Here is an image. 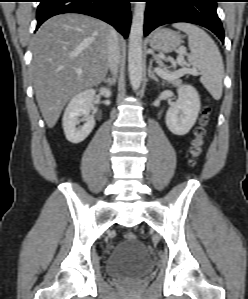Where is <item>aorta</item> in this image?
<instances>
[{
  "label": "aorta",
  "instance_id": "762f6f07",
  "mask_svg": "<svg viewBox=\"0 0 248 299\" xmlns=\"http://www.w3.org/2000/svg\"><path fill=\"white\" fill-rule=\"evenodd\" d=\"M145 7L144 2H136L129 34L128 72L134 90L140 87L142 81V37Z\"/></svg>",
  "mask_w": 248,
  "mask_h": 299
}]
</instances>
